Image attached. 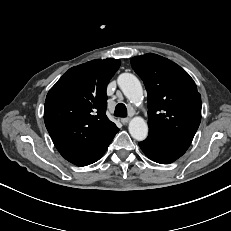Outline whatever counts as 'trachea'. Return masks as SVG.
<instances>
[{
  "label": "trachea",
  "instance_id": "3493384b",
  "mask_svg": "<svg viewBox=\"0 0 231 231\" xmlns=\"http://www.w3.org/2000/svg\"><path fill=\"white\" fill-rule=\"evenodd\" d=\"M114 116L127 117V108L123 103H119L115 107Z\"/></svg>",
  "mask_w": 231,
  "mask_h": 231
}]
</instances>
